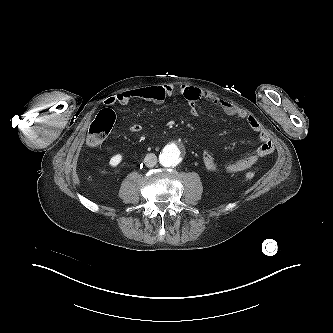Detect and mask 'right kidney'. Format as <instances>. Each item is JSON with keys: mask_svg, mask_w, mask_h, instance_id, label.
<instances>
[{"mask_svg": "<svg viewBox=\"0 0 333 333\" xmlns=\"http://www.w3.org/2000/svg\"><path fill=\"white\" fill-rule=\"evenodd\" d=\"M122 159H123V156L121 154H116L111 157V159L109 161V165L111 167H116L117 165H119L121 163Z\"/></svg>", "mask_w": 333, "mask_h": 333, "instance_id": "ca27d5eb", "label": "right kidney"}]
</instances>
